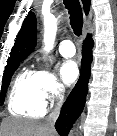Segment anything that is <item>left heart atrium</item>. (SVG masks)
Segmentation results:
<instances>
[{"instance_id": "left-heart-atrium-1", "label": "left heart atrium", "mask_w": 117, "mask_h": 136, "mask_svg": "<svg viewBox=\"0 0 117 136\" xmlns=\"http://www.w3.org/2000/svg\"><path fill=\"white\" fill-rule=\"evenodd\" d=\"M79 67L73 60H66L60 67V75L63 82L67 85L73 84L79 77Z\"/></svg>"}]
</instances>
